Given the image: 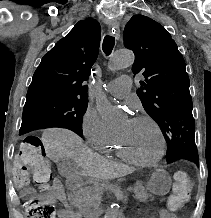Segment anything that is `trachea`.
Listing matches in <instances>:
<instances>
[{
  "mask_svg": "<svg viewBox=\"0 0 211 218\" xmlns=\"http://www.w3.org/2000/svg\"><path fill=\"white\" fill-rule=\"evenodd\" d=\"M115 45V38L110 35H106L103 40L102 49L103 52L108 56L111 54Z\"/></svg>",
  "mask_w": 211,
  "mask_h": 218,
  "instance_id": "3493384b",
  "label": "trachea"
}]
</instances>
